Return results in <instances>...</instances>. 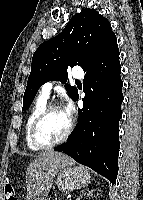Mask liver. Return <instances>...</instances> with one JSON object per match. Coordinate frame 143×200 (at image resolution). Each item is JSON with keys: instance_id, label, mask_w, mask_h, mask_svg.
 Segmentation results:
<instances>
[{"instance_id": "1", "label": "liver", "mask_w": 143, "mask_h": 200, "mask_svg": "<svg viewBox=\"0 0 143 200\" xmlns=\"http://www.w3.org/2000/svg\"><path fill=\"white\" fill-rule=\"evenodd\" d=\"M75 161L61 152L46 151L29 164L26 171L27 200H46L56 173Z\"/></svg>"}]
</instances>
